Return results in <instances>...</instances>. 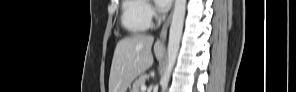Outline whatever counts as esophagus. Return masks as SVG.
Instances as JSON below:
<instances>
[{"label":"esophagus","instance_id":"obj_1","mask_svg":"<svg viewBox=\"0 0 296 92\" xmlns=\"http://www.w3.org/2000/svg\"><path fill=\"white\" fill-rule=\"evenodd\" d=\"M171 19H172V11L169 14L168 18L166 19V21L164 22L161 32H160V41H165L167 38V32H168V28L170 26L171 23Z\"/></svg>","mask_w":296,"mask_h":92}]
</instances>
